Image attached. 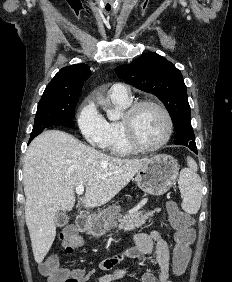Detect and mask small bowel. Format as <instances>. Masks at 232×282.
<instances>
[{"label": "small bowel", "mask_w": 232, "mask_h": 282, "mask_svg": "<svg viewBox=\"0 0 232 282\" xmlns=\"http://www.w3.org/2000/svg\"><path fill=\"white\" fill-rule=\"evenodd\" d=\"M135 247L123 254L105 259L98 264V269L101 271H109L113 269L124 256L132 258H143L154 256L159 272L157 274L146 271L141 277V282H173L170 278V251L167 242L162 238L158 231L150 233H137L134 235ZM55 257L56 256H50ZM130 266H124L110 273L103 274L97 278V282H113L122 279L128 275ZM65 274L76 279V282H88L95 274V270L88 271L76 269L73 271L65 270ZM48 282H53L48 278Z\"/></svg>", "instance_id": "1"}]
</instances>
